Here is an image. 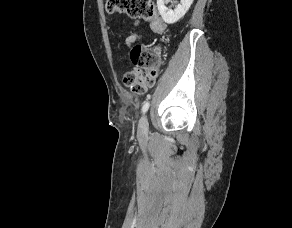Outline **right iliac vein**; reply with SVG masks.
Wrapping results in <instances>:
<instances>
[{"mask_svg":"<svg viewBox=\"0 0 292 228\" xmlns=\"http://www.w3.org/2000/svg\"><path fill=\"white\" fill-rule=\"evenodd\" d=\"M147 130H148V120H147V116L143 115L141 117V119L139 120V124H138V133L140 136H145L147 134Z\"/></svg>","mask_w":292,"mask_h":228,"instance_id":"obj_1","label":"right iliac vein"}]
</instances>
